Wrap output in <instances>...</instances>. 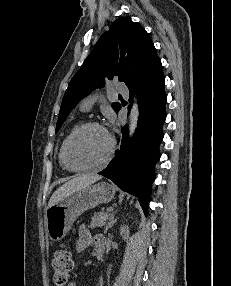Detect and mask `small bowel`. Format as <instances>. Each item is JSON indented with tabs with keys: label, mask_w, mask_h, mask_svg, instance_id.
Here are the masks:
<instances>
[{
	"label": "small bowel",
	"mask_w": 231,
	"mask_h": 286,
	"mask_svg": "<svg viewBox=\"0 0 231 286\" xmlns=\"http://www.w3.org/2000/svg\"><path fill=\"white\" fill-rule=\"evenodd\" d=\"M103 238L101 235H93L86 225H81L79 228V235L76 241V251L82 253L89 247H97L98 241ZM67 286H77L75 283H69Z\"/></svg>",
	"instance_id": "c3829d8e"
}]
</instances>
